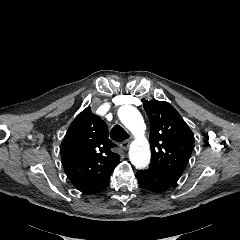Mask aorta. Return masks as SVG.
Instances as JSON below:
<instances>
[{
  "label": "aorta",
  "instance_id": "1",
  "mask_svg": "<svg viewBox=\"0 0 240 240\" xmlns=\"http://www.w3.org/2000/svg\"><path fill=\"white\" fill-rule=\"evenodd\" d=\"M122 124L135 136L129 149V159L136 168H145L150 163L151 153L144 138L145 123L141 113L131 105H124L118 110Z\"/></svg>",
  "mask_w": 240,
  "mask_h": 240
}]
</instances>
